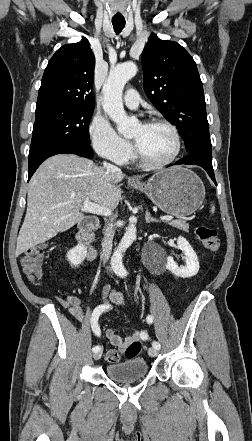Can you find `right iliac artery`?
<instances>
[{"instance_id": "right-iliac-artery-1", "label": "right iliac artery", "mask_w": 252, "mask_h": 441, "mask_svg": "<svg viewBox=\"0 0 252 441\" xmlns=\"http://www.w3.org/2000/svg\"><path fill=\"white\" fill-rule=\"evenodd\" d=\"M111 307V305H99V306H97L95 309H94V311H93V313H92V317H91V327H92V330H93V332L97 335V336H100L101 335V330H100V327H99V325H98V319H99V316L103 313V311H105V310H108L109 308ZM93 352L95 353V352H98V351H100L101 350V347L100 346H95V347H93Z\"/></svg>"}]
</instances>
